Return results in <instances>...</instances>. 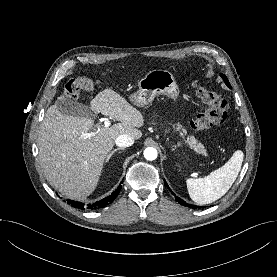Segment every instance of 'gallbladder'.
<instances>
[{
	"label": "gallbladder",
	"instance_id": "1",
	"mask_svg": "<svg viewBox=\"0 0 277 277\" xmlns=\"http://www.w3.org/2000/svg\"><path fill=\"white\" fill-rule=\"evenodd\" d=\"M56 106L62 113L67 115L86 118H93L95 116V112L91 107L73 101L64 95L57 99Z\"/></svg>",
	"mask_w": 277,
	"mask_h": 277
}]
</instances>
